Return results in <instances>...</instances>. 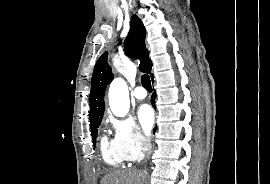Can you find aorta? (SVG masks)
<instances>
[{
    "label": "aorta",
    "instance_id": "obj_1",
    "mask_svg": "<svg viewBox=\"0 0 270 184\" xmlns=\"http://www.w3.org/2000/svg\"><path fill=\"white\" fill-rule=\"evenodd\" d=\"M109 106L112 113L117 117L125 116L130 108L129 92L127 83L122 78H116L109 87Z\"/></svg>",
    "mask_w": 270,
    "mask_h": 184
}]
</instances>
